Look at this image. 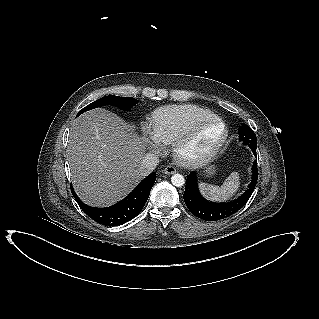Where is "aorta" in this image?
Masks as SVG:
<instances>
[{
  "label": "aorta",
  "instance_id": "aorta-1",
  "mask_svg": "<svg viewBox=\"0 0 319 319\" xmlns=\"http://www.w3.org/2000/svg\"><path fill=\"white\" fill-rule=\"evenodd\" d=\"M171 182L176 187H181L185 184V179L181 174H174L171 177Z\"/></svg>",
  "mask_w": 319,
  "mask_h": 319
}]
</instances>
